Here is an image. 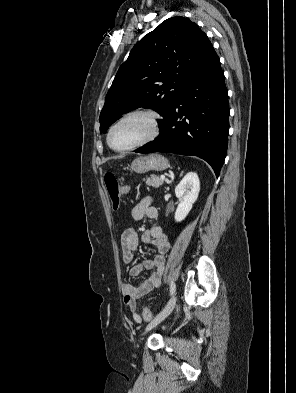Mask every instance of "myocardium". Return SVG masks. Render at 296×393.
<instances>
[{
  "label": "myocardium",
  "mask_w": 296,
  "mask_h": 393,
  "mask_svg": "<svg viewBox=\"0 0 296 393\" xmlns=\"http://www.w3.org/2000/svg\"><path fill=\"white\" fill-rule=\"evenodd\" d=\"M134 116H142V117H145L149 121L150 126H151V130H150L149 135L146 136L144 139L138 141L137 143H135L131 146H128L126 148L118 149V148L113 147L111 144V140H110L113 129L118 124H120L122 121H124L128 118L134 117ZM159 133H160V116L156 112H154L152 110H133V111H130V112L124 114L123 116H121L119 119H117L111 125V127L109 128L108 133H107V144L112 150H114L116 152H126V151H130V150L139 148L141 146H144V145L152 142L153 140H155L158 137Z\"/></svg>",
  "instance_id": "obj_1"
}]
</instances>
